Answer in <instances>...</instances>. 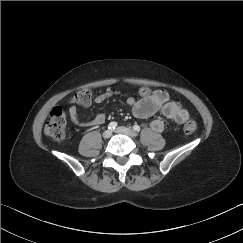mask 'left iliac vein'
<instances>
[{
  "label": "left iliac vein",
  "mask_w": 243,
  "mask_h": 243,
  "mask_svg": "<svg viewBox=\"0 0 243 243\" xmlns=\"http://www.w3.org/2000/svg\"><path fill=\"white\" fill-rule=\"evenodd\" d=\"M115 132L126 134L129 137H136L137 136V133L134 130L127 128V127H123V126L118 127L115 130Z\"/></svg>",
  "instance_id": "1"
}]
</instances>
